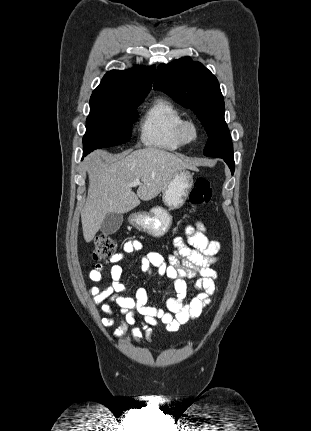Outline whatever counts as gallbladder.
I'll list each match as a JSON object with an SVG mask.
<instances>
[{
  "label": "gallbladder",
  "instance_id": "bac80fb5",
  "mask_svg": "<svg viewBox=\"0 0 311 431\" xmlns=\"http://www.w3.org/2000/svg\"><path fill=\"white\" fill-rule=\"evenodd\" d=\"M124 217L122 214H113V212H110V214H107L105 216L104 221L101 223V231L102 233H105V235H110V233H115L117 229H119L120 225L123 223Z\"/></svg>",
  "mask_w": 311,
  "mask_h": 431
}]
</instances>
